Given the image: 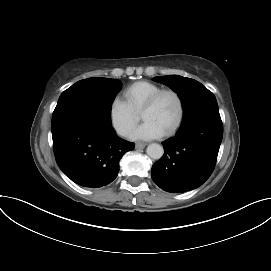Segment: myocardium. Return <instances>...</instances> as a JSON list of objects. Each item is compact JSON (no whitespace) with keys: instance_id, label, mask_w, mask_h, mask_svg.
Segmentation results:
<instances>
[{"instance_id":"f54148a6","label":"myocardium","mask_w":271,"mask_h":271,"mask_svg":"<svg viewBox=\"0 0 271 271\" xmlns=\"http://www.w3.org/2000/svg\"><path fill=\"white\" fill-rule=\"evenodd\" d=\"M165 94L173 95L174 98L176 99L177 106H178V114H177V118H176L174 124L170 127V129L168 131H166L164 133L166 136H170L177 131V129L180 127V125L183 121V118H184V102H183L181 95L176 90L167 88V89H161V90L157 91L151 97L148 98V100L142 106L140 112L143 113V112L153 108L156 105V103L158 102V100L160 99V97Z\"/></svg>"}]
</instances>
